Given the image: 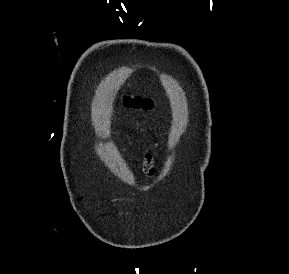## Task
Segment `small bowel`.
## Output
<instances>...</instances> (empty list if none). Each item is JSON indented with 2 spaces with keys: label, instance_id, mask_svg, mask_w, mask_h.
<instances>
[{
  "label": "small bowel",
  "instance_id": "small-bowel-1",
  "mask_svg": "<svg viewBox=\"0 0 289 274\" xmlns=\"http://www.w3.org/2000/svg\"><path fill=\"white\" fill-rule=\"evenodd\" d=\"M144 173L146 176L151 177L157 170V156L154 152L148 150L144 153L143 161Z\"/></svg>",
  "mask_w": 289,
  "mask_h": 274
}]
</instances>
